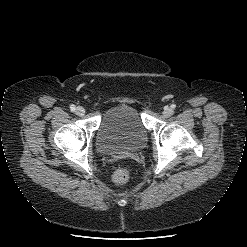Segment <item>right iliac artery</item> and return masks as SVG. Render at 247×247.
<instances>
[{"label":"right iliac artery","instance_id":"obj_1","mask_svg":"<svg viewBox=\"0 0 247 247\" xmlns=\"http://www.w3.org/2000/svg\"><path fill=\"white\" fill-rule=\"evenodd\" d=\"M70 110H71V111H75V106H74V105H71V106H70Z\"/></svg>","mask_w":247,"mask_h":247}]
</instances>
